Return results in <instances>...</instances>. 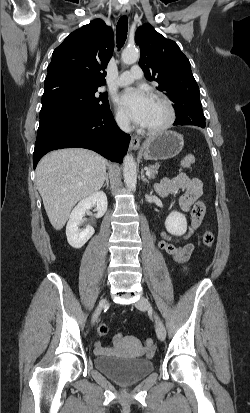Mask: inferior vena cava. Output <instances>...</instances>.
I'll use <instances>...</instances> for the list:
<instances>
[{"label":"inferior vena cava","instance_id":"602c4592","mask_svg":"<svg viewBox=\"0 0 250 413\" xmlns=\"http://www.w3.org/2000/svg\"><path fill=\"white\" fill-rule=\"evenodd\" d=\"M118 126L120 127L121 130H123L124 132L129 133L131 131V127H130V121L128 118L126 117H118L116 119Z\"/></svg>","mask_w":250,"mask_h":413}]
</instances>
